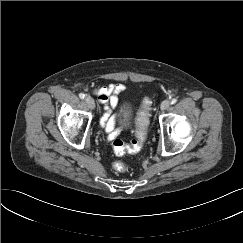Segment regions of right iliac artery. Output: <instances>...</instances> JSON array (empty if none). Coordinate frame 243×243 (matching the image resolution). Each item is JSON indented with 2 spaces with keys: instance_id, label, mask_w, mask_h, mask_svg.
Here are the masks:
<instances>
[{
  "instance_id": "82829eb1",
  "label": "right iliac artery",
  "mask_w": 243,
  "mask_h": 243,
  "mask_svg": "<svg viewBox=\"0 0 243 243\" xmlns=\"http://www.w3.org/2000/svg\"><path fill=\"white\" fill-rule=\"evenodd\" d=\"M79 97H80L81 99H84V98H85V94H84V93H80V94H79Z\"/></svg>"
}]
</instances>
